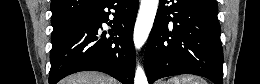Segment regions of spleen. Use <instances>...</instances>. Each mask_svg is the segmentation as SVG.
Instances as JSON below:
<instances>
[{
    "instance_id": "3e777b00",
    "label": "spleen",
    "mask_w": 260,
    "mask_h": 84,
    "mask_svg": "<svg viewBox=\"0 0 260 84\" xmlns=\"http://www.w3.org/2000/svg\"><path fill=\"white\" fill-rule=\"evenodd\" d=\"M167 84H207V82L196 75H183L171 78Z\"/></svg>"
}]
</instances>
